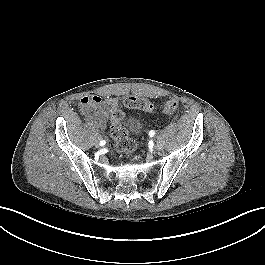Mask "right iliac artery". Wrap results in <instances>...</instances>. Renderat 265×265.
<instances>
[{"mask_svg": "<svg viewBox=\"0 0 265 265\" xmlns=\"http://www.w3.org/2000/svg\"><path fill=\"white\" fill-rule=\"evenodd\" d=\"M105 144H106V141H105V140L100 141V145H101V146H103V145H105Z\"/></svg>", "mask_w": 265, "mask_h": 265, "instance_id": "obj_1", "label": "right iliac artery"}]
</instances>
